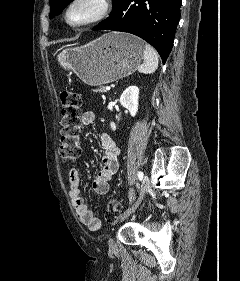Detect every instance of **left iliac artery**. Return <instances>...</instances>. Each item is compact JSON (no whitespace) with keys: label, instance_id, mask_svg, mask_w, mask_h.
Wrapping results in <instances>:
<instances>
[{"label":"left iliac artery","instance_id":"44dca946","mask_svg":"<svg viewBox=\"0 0 240 281\" xmlns=\"http://www.w3.org/2000/svg\"><path fill=\"white\" fill-rule=\"evenodd\" d=\"M138 178H139V180H142V178H143V172H141V171L138 172Z\"/></svg>","mask_w":240,"mask_h":281}]
</instances>
